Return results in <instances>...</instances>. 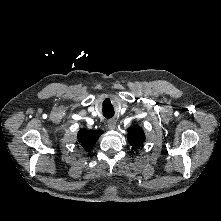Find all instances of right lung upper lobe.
<instances>
[{"label":"right lung upper lobe","instance_id":"obj_1","mask_svg":"<svg viewBox=\"0 0 221 221\" xmlns=\"http://www.w3.org/2000/svg\"><path fill=\"white\" fill-rule=\"evenodd\" d=\"M102 134L100 130L88 131L85 129H81L78 132V142L85 150H90L98 137Z\"/></svg>","mask_w":221,"mask_h":221}]
</instances>
